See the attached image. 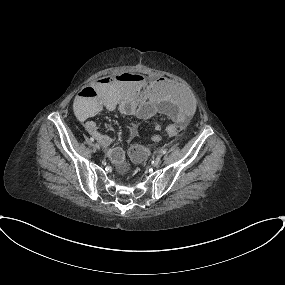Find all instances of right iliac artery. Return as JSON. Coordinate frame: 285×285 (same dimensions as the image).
Returning <instances> with one entry per match:
<instances>
[{
    "label": "right iliac artery",
    "mask_w": 285,
    "mask_h": 285,
    "mask_svg": "<svg viewBox=\"0 0 285 285\" xmlns=\"http://www.w3.org/2000/svg\"><path fill=\"white\" fill-rule=\"evenodd\" d=\"M90 141H91V142H94V138H93V137H91V138H90Z\"/></svg>",
    "instance_id": "right-iliac-artery-1"
}]
</instances>
